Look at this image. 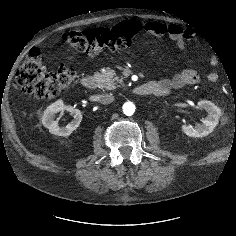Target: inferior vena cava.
<instances>
[{"label":"inferior vena cava","instance_id":"602c4592","mask_svg":"<svg viewBox=\"0 0 236 236\" xmlns=\"http://www.w3.org/2000/svg\"><path fill=\"white\" fill-rule=\"evenodd\" d=\"M98 100L101 104H110L114 101V96L112 94H101Z\"/></svg>","mask_w":236,"mask_h":236}]
</instances>
